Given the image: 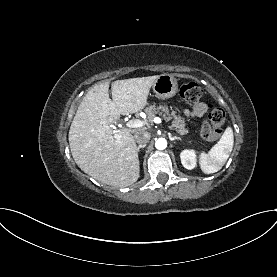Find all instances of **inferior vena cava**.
<instances>
[{
    "label": "inferior vena cava",
    "instance_id": "602c4592",
    "mask_svg": "<svg viewBox=\"0 0 277 277\" xmlns=\"http://www.w3.org/2000/svg\"><path fill=\"white\" fill-rule=\"evenodd\" d=\"M150 137V133L145 131H139L134 135V139L139 145H145L149 142Z\"/></svg>",
    "mask_w": 277,
    "mask_h": 277
}]
</instances>
